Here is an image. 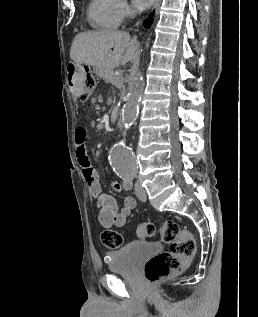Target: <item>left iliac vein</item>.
I'll use <instances>...</instances> for the list:
<instances>
[{"mask_svg":"<svg viewBox=\"0 0 258 317\" xmlns=\"http://www.w3.org/2000/svg\"><path fill=\"white\" fill-rule=\"evenodd\" d=\"M134 185H135V193L141 199V202H145L146 201L145 189L142 188V185L139 182H136Z\"/></svg>","mask_w":258,"mask_h":317,"instance_id":"4c4485c4","label":"left iliac vein"}]
</instances>
